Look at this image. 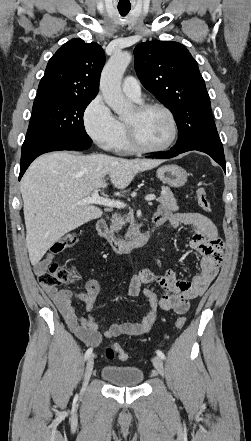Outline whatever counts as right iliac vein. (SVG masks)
I'll return each instance as SVG.
<instances>
[{
	"label": "right iliac vein",
	"instance_id": "right-iliac-vein-1",
	"mask_svg": "<svg viewBox=\"0 0 251 441\" xmlns=\"http://www.w3.org/2000/svg\"><path fill=\"white\" fill-rule=\"evenodd\" d=\"M93 367H94V356H90V358L87 361L86 364V368H85V373H84V383H83V389L85 390L88 381L91 377L92 371H93Z\"/></svg>",
	"mask_w": 251,
	"mask_h": 441
}]
</instances>
